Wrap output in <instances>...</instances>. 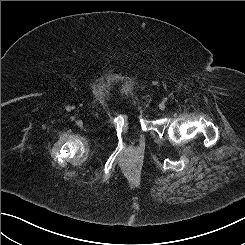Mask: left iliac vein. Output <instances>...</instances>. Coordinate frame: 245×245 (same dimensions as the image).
Masks as SVG:
<instances>
[{"label": "left iliac vein", "mask_w": 245, "mask_h": 245, "mask_svg": "<svg viewBox=\"0 0 245 245\" xmlns=\"http://www.w3.org/2000/svg\"><path fill=\"white\" fill-rule=\"evenodd\" d=\"M159 108L161 109V110H164L165 109V104L162 102V103H160L159 104Z\"/></svg>", "instance_id": "obj_1"}]
</instances>
